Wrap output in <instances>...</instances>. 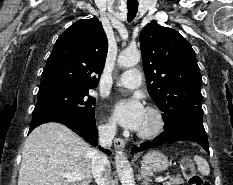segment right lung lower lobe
Segmentation results:
<instances>
[{"mask_svg": "<svg viewBox=\"0 0 233 185\" xmlns=\"http://www.w3.org/2000/svg\"><path fill=\"white\" fill-rule=\"evenodd\" d=\"M47 122L62 123L80 135L91 145L96 146L98 143V133L95 120L90 121L82 117L66 113L39 112L32 114V123L29 132L35 127ZM99 149L108 155L111 154L107 149H103L101 147H99Z\"/></svg>", "mask_w": 233, "mask_h": 185, "instance_id": "obj_1", "label": "right lung lower lobe"}]
</instances>
